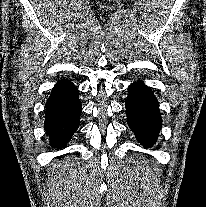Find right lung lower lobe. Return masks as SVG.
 <instances>
[{
    "label": "right lung lower lobe",
    "mask_w": 206,
    "mask_h": 207,
    "mask_svg": "<svg viewBox=\"0 0 206 207\" xmlns=\"http://www.w3.org/2000/svg\"><path fill=\"white\" fill-rule=\"evenodd\" d=\"M45 107L44 128L50 145L65 147L79 126L82 106L77 88L68 79H61L54 86Z\"/></svg>",
    "instance_id": "right-lung-lower-lobe-1"
}]
</instances>
